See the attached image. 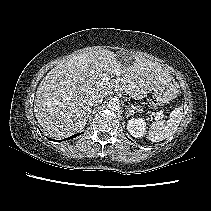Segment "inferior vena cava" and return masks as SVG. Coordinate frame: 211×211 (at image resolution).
<instances>
[{"label": "inferior vena cava", "mask_w": 211, "mask_h": 211, "mask_svg": "<svg viewBox=\"0 0 211 211\" xmlns=\"http://www.w3.org/2000/svg\"><path fill=\"white\" fill-rule=\"evenodd\" d=\"M103 98H104V95L103 94H95V95H92L89 98L88 105L89 106L98 105V104L102 103Z\"/></svg>", "instance_id": "inferior-vena-cava-1"}]
</instances>
